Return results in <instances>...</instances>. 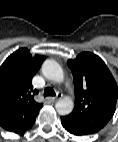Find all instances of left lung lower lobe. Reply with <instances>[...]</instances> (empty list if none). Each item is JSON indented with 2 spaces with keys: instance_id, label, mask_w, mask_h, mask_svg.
I'll return each mask as SVG.
<instances>
[{
  "instance_id": "0a47b994",
  "label": "left lung lower lobe",
  "mask_w": 118,
  "mask_h": 142,
  "mask_svg": "<svg viewBox=\"0 0 118 142\" xmlns=\"http://www.w3.org/2000/svg\"><path fill=\"white\" fill-rule=\"evenodd\" d=\"M61 123L62 126L71 134L75 136H85L90 135L89 132H87L83 127H81L79 124H77L75 121L62 116L61 117Z\"/></svg>"
}]
</instances>
